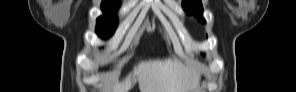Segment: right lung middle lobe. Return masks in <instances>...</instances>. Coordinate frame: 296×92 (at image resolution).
<instances>
[{"label":"right lung middle lobe","mask_w":296,"mask_h":92,"mask_svg":"<svg viewBox=\"0 0 296 92\" xmlns=\"http://www.w3.org/2000/svg\"><path fill=\"white\" fill-rule=\"evenodd\" d=\"M120 7L119 0H103L101 8L104 15L97 19L96 32L99 37L109 38L118 26V21L115 16L116 11Z\"/></svg>","instance_id":"1"}]
</instances>
